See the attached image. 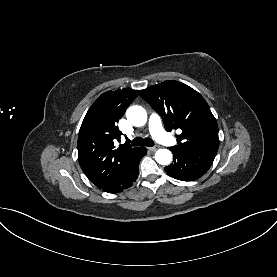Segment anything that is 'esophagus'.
<instances>
[{
    "label": "esophagus",
    "mask_w": 277,
    "mask_h": 277,
    "mask_svg": "<svg viewBox=\"0 0 277 277\" xmlns=\"http://www.w3.org/2000/svg\"><path fill=\"white\" fill-rule=\"evenodd\" d=\"M157 148H158V146H153V147H149V150H150V151H156Z\"/></svg>",
    "instance_id": "obj_1"
}]
</instances>
